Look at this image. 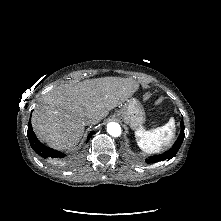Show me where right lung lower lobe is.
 <instances>
[{"instance_id": "right-lung-lower-lobe-1", "label": "right lung lower lobe", "mask_w": 221, "mask_h": 221, "mask_svg": "<svg viewBox=\"0 0 221 221\" xmlns=\"http://www.w3.org/2000/svg\"><path fill=\"white\" fill-rule=\"evenodd\" d=\"M94 134V132H91L88 135L87 141L90 139V137ZM27 136L30 142L31 147L33 150L38 153L40 156H42L45 159H48L50 161H63L61 158L65 157V154L53 150L49 147L44 146L36 137L35 133L33 132L31 122L29 120L28 123V131H27Z\"/></svg>"}]
</instances>
